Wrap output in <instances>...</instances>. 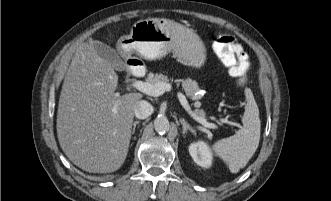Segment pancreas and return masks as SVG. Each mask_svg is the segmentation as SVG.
Instances as JSON below:
<instances>
[{"instance_id": "pancreas-1", "label": "pancreas", "mask_w": 331, "mask_h": 201, "mask_svg": "<svg viewBox=\"0 0 331 201\" xmlns=\"http://www.w3.org/2000/svg\"><path fill=\"white\" fill-rule=\"evenodd\" d=\"M170 79L163 74H155V75H150L149 78L147 79L148 83L151 84H156L159 82L162 83H169ZM182 87L186 93L187 96L191 97V98H199V96H195V93L198 92L199 86L197 84V82L195 80H192L191 78H186L183 80H180ZM195 113L197 114V116L204 118L205 117V112L203 110H196Z\"/></svg>"}]
</instances>
